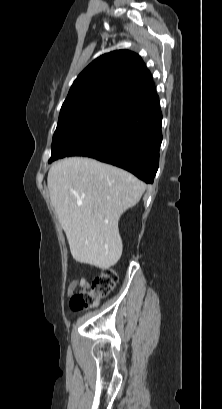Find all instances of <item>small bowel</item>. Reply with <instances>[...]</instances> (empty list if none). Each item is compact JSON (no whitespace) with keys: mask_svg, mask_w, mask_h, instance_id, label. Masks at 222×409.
Masks as SVG:
<instances>
[{"mask_svg":"<svg viewBox=\"0 0 222 409\" xmlns=\"http://www.w3.org/2000/svg\"><path fill=\"white\" fill-rule=\"evenodd\" d=\"M89 286L90 283L85 278L73 279L67 287V293L70 295L76 289H78L79 291H86L89 288Z\"/></svg>","mask_w":222,"mask_h":409,"instance_id":"small-bowel-1","label":"small bowel"}]
</instances>
